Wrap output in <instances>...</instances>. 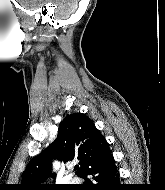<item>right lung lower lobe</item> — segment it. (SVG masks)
<instances>
[{
  "label": "right lung lower lobe",
  "instance_id": "right-lung-lower-lobe-1",
  "mask_svg": "<svg viewBox=\"0 0 165 190\" xmlns=\"http://www.w3.org/2000/svg\"><path fill=\"white\" fill-rule=\"evenodd\" d=\"M85 181V190H124V185L119 183V173L115 160L110 154L97 165L86 170L80 175Z\"/></svg>",
  "mask_w": 165,
  "mask_h": 190
}]
</instances>
